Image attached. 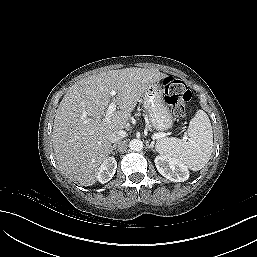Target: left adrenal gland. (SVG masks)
I'll use <instances>...</instances> for the list:
<instances>
[{
	"label": "left adrenal gland",
	"instance_id": "a2214340",
	"mask_svg": "<svg viewBox=\"0 0 257 257\" xmlns=\"http://www.w3.org/2000/svg\"><path fill=\"white\" fill-rule=\"evenodd\" d=\"M153 144H154L153 142H151L150 144H149V142H147L146 145H147V147H148L149 149L155 151V150L153 149V147H154Z\"/></svg>",
	"mask_w": 257,
	"mask_h": 257
}]
</instances>
